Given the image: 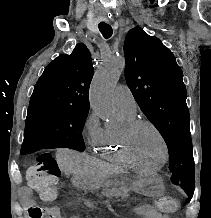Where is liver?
Segmentation results:
<instances>
[{"label": "liver", "instance_id": "liver-1", "mask_svg": "<svg viewBox=\"0 0 211 218\" xmlns=\"http://www.w3.org/2000/svg\"><path fill=\"white\" fill-rule=\"evenodd\" d=\"M58 166L60 170H67L77 178L87 176L93 166V158L88 154H78L73 150H59L57 154Z\"/></svg>", "mask_w": 211, "mask_h": 218}]
</instances>
